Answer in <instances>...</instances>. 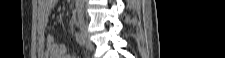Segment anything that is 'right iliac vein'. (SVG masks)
I'll return each instance as SVG.
<instances>
[{
	"mask_svg": "<svg viewBox=\"0 0 225 58\" xmlns=\"http://www.w3.org/2000/svg\"><path fill=\"white\" fill-rule=\"evenodd\" d=\"M79 28H80V34H81V36H82V38L84 40V45L89 50H92L93 49V44H92V42L90 41V39L88 37V33H87L86 27H85L83 22L79 23Z\"/></svg>",
	"mask_w": 225,
	"mask_h": 58,
	"instance_id": "obj_1",
	"label": "right iliac vein"
}]
</instances>
